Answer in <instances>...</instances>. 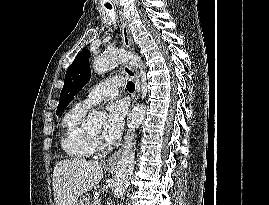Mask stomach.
Segmentation results:
<instances>
[{
  "label": "stomach",
  "instance_id": "stomach-1",
  "mask_svg": "<svg viewBox=\"0 0 269 205\" xmlns=\"http://www.w3.org/2000/svg\"><path fill=\"white\" fill-rule=\"evenodd\" d=\"M106 171H110L112 168L111 167H105L104 168ZM75 205H91V201L88 197L82 196L78 202L75 203Z\"/></svg>",
  "mask_w": 269,
  "mask_h": 205
}]
</instances>
